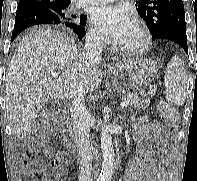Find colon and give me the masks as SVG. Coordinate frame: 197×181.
I'll list each match as a JSON object with an SVG mask.
<instances>
[{
  "label": "colon",
  "mask_w": 197,
  "mask_h": 181,
  "mask_svg": "<svg viewBox=\"0 0 197 181\" xmlns=\"http://www.w3.org/2000/svg\"><path fill=\"white\" fill-rule=\"evenodd\" d=\"M159 112L167 122L168 127L174 129L179 120L178 111L166 102H160ZM45 128L46 126L40 127L37 130V136H41ZM65 163L66 160L62 154L55 155L51 160V165L55 168H60ZM24 171L29 181H51L42 156L38 152L29 153L24 164Z\"/></svg>",
  "instance_id": "5ec220e1"
}]
</instances>
